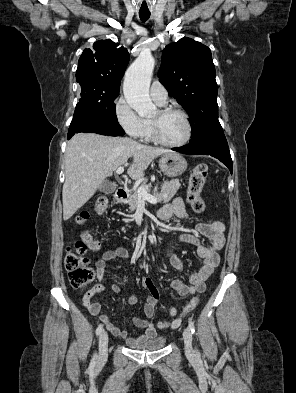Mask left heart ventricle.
<instances>
[{"label": "left heart ventricle", "mask_w": 296, "mask_h": 393, "mask_svg": "<svg viewBox=\"0 0 296 393\" xmlns=\"http://www.w3.org/2000/svg\"><path fill=\"white\" fill-rule=\"evenodd\" d=\"M152 119L157 121L160 136L163 140L174 143L181 141L186 136L187 126L180 114L171 113L162 116L157 111Z\"/></svg>", "instance_id": "obj_1"}]
</instances>
